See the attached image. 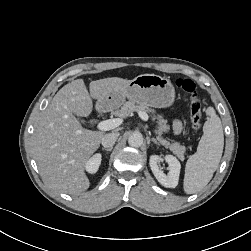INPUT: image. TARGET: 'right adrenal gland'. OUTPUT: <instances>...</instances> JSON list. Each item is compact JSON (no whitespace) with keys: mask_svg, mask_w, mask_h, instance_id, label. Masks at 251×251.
<instances>
[{"mask_svg":"<svg viewBox=\"0 0 251 251\" xmlns=\"http://www.w3.org/2000/svg\"><path fill=\"white\" fill-rule=\"evenodd\" d=\"M102 150H104V151H108V152H111L112 147H110V148H102Z\"/></svg>","mask_w":251,"mask_h":251,"instance_id":"obj_1","label":"right adrenal gland"}]
</instances>
